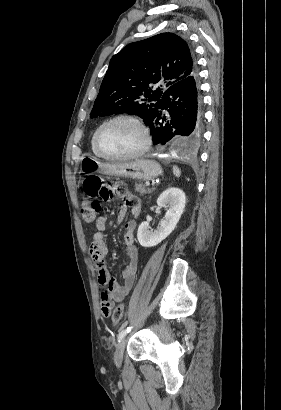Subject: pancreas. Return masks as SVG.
Segmentation results:
<instances>
[{
    "mask_svg": "<svg viewBox=\"0 0 281 410\" xmlns=\"http://www.w3.org/2000/svg\"><path fill=\"white\" fill-rule=\"evenodd\" d=\"M135 191L140 193L141 195L151 193V189L146 188L142 183L135 184Z\"/></svg>",
    "mask_w": 281,
    "mask_h": 410,
    "instance_id": "1",
    "label": "pancreas"
}]
</instances>
